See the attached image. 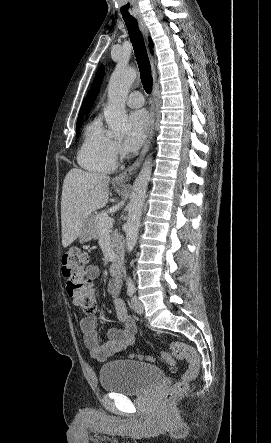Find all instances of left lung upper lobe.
<instances>
[{
	"instance_id": "left-lung-upper-lobe-1",
	"label": "left lung upper lobe",
	"mask_w": 271,
	"mask_h": 443,
	"mask_svg": "<svg viewBox=\"0 0 271 443\" xmlns=\"http://www.w3.org/2000/svg\"><path fill=\"white\" fill-rule=\"evenodd\" d=\"M104 66H100V68L98 69L96 76L94 78V82L87 94V98H86V110L87 113L90 111V109L92 108V104L96 98V96L99 93L100 90V86H101V82L103 80L104 77Z\"/></svg>"
}]
</instances>
